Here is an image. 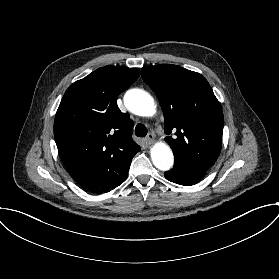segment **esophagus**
Segmentation results:
<instances>
[{"label":"esophagus","mask_w":279,"mask_h":279,"mask_svg":"<svg viewBox=\"0 0 279 279\" xmlns=\"http://www.w3.org/2000/svg\"><path fill=\"white\" fill-rule=\"evenodd\" d=\"M154 141H155V136H154V134H153V133H149V134L147 135V137H146V143H147L148 145H151V144H153Z\"/></svg>","instance_id":"obj_1"}]
</instances>
